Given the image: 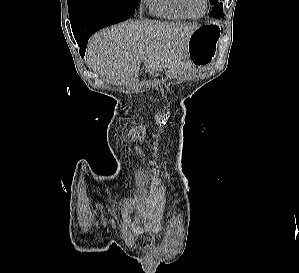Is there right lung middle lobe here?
<instances>
[{"label": "right lung middle lobe", "mask_w": 299, "mask_h": 273, "mask_svg": "<svg viewBox=\"0 0 299 273\" xmlns=\"http://www.w3.org/2000/svg\"><path fill=\"white\" fill-rule=\"evenodd\" d=\"M70 19L104 10H135L140 0H68Z\"/></svg>", "instance_id": "dd1d6c3e"}]
</instances>
